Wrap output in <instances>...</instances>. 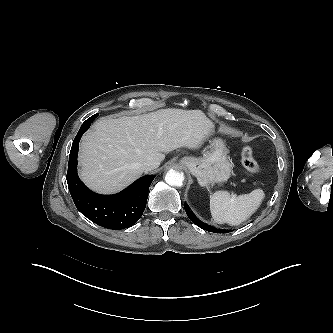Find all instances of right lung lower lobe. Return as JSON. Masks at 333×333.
<instances>
[{
  "label": "right lung lower lobe",
  "instance_id": "right-lung-lower-lobe-1",
  "mask_svg": "<svg viewBox=\"0 0 333 333\" xmlns=\"http://www.w3.org/2000/svg\"><path fill=\"white\" fill-rule=\"evenodd\" d=\"M97 116H91L82 124L72 143L66 176L68 188L77 209L89 220L109 229L128 228L142 216L154 176L141 177L114 195L94 193L82 183L77 174L79 141Z\"/></svg>",
  "mask_w": 333,
  "mask_h": 333
}]
</instances>
